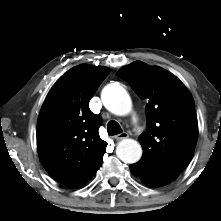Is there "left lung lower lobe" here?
Masks as SVG:
<instances>
[{"label": "left lung lower lobe", "mask_w": 221, "mask_h": 221, "mask_svg": "<svg viewBox=\"0 0 221 221\" xmlns=\"http://www.w3.org/2000/svg\"><path fill=\"white\" fill-rule=\"evenodd\" d=\"M130 170H131L133 175L137 176V171H136V169H135L133 164L130 165Z\"/></svg>", "instance_id": "0a47b994"}]
</instances>
